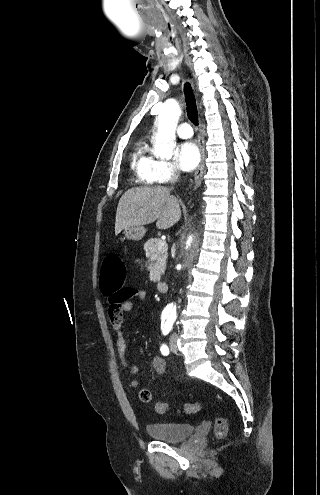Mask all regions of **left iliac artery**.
<instances>
[{
  "instance_id": "obj_1",
  "label": "left iliac artery",
  "mask_w": 320,
  "mask_h": 495,
  "mask_svg": "<svg viewBox=\"0 0 320 495\" xmlns=\"http://www.w3.org/2000/svg\"><path fill=\"white\" fill-rule=\"evenodd\" d=\"M172 325H173V320L171 319L163 320L161 324L162 334L167 335L171 331ZM160 351L163 355L169 354V349L165 344L161 345Z\"/></svg>"
}]
</instances>
